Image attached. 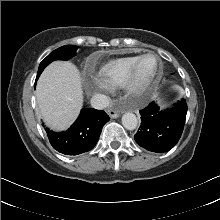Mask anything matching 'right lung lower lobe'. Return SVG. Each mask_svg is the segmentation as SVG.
Wrapping results in <instances>:
<instances>
[{
	"mask_svg": "<svg viewBox=\"0 0 220 220\" xmlns=\"http://www.w3.org/2000/svg\"><path fill=\"white\" fill-rule=\"evenodd\" d=\"M109 119L102 110L84 108L76 122L67 131L54 133L47 128L45 130L54 149L66 155H77L94 148L104 124Z\"/></svg>",
	"mask_w": 220,
	"mask_h": 220,
	"instance_id": "obj_1",
	"label": "right lung lower lobe"
}]
</instances>
